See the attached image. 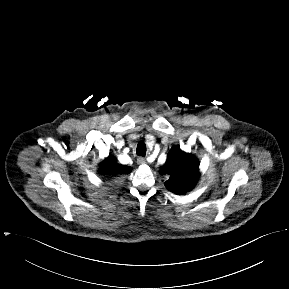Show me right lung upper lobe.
<instances>
[{
  "instance_id": "right-lung-upper-lobe-1",
  "label": "right lung upper lobe",
  "mask_w": 289,
  "mask_h": 289,
  "mask_svg": "<svg viewBox=\"0 0 289 289\" xmlns=\"http://www.w3.org/2000/svg\"><path fill=\"white\" fill-rule=\"evenodd\" d=\"M128 166L117 165L110 157L106 158L99 166V173L104 176H116L129 171Z\"/></svg>"
}]
</instances>
